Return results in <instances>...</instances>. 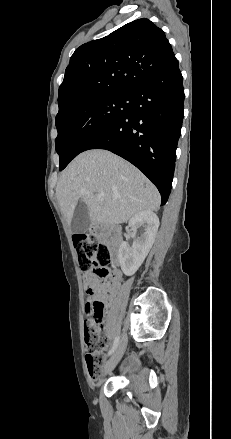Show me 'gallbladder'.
Returning <instances> with one entry per match:
<instances>
[{
	"instance_id": "obj_1",
	"label": "gallbladder",
	"mask_w": 231,
	"mask_h": 439,
	"mask_svg": "<svg viewBox=\"0 0 231 439\" xmlns=\"http://www.w3.org/2000/svg\"><path fill=\"white\" fill-rule=\"evenodd\" d=\"M90 222L87 205L80 200L73 214L71 229L74 233L85 232L88 229Z\"/></svg>"
}]
</instances>
